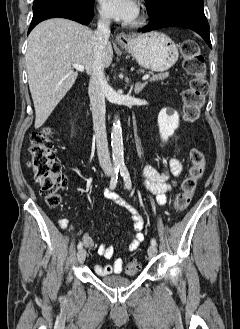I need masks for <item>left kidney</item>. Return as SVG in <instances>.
Masks as SVG:
<instances>
[{"label": "left kidney", "mask_w": 240, "mask_h": 329, "mask_svg": "<svg viewBox=\"0 0 240 329\" xmlns=\"http://www.w3.org/2000/svg\"><path fill=\"white\" fill-rule=\"evenodd\" d=\"M158 126L161 138L167 141L179 126V115L170 108H164L158 115Z\"/></svg>", "instance_id": "1"}]
</instances>
